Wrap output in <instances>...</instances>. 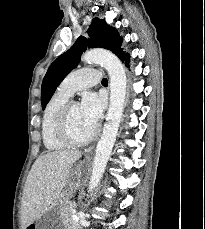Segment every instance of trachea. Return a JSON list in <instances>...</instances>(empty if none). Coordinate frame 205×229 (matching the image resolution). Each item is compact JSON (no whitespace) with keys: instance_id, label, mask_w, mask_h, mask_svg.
<instances>
[{"instance_id":"3493384b","label":"trachea","mask_w":205,"mask_h":229,"mask_svg":"<svg viewBox=\"0 0 205 229\" xmlns=\"http://www.w3.org/2000/svg\"><path fill=\"white\" fill-rule=\"evenodd\" d=\"M108 83V80L106 79V78H104L103 80H102V84H107Z\"/></svg>"}]
</instances>
